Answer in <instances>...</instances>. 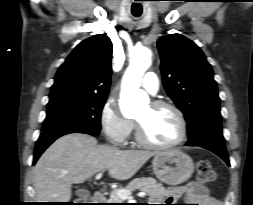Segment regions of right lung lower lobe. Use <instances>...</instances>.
<instances>
[{
	"mask_svg": "<svg viewBox=\"0 0 253 205\" xmlns=\"http://www.w3.org/2000/svg\"><path fill=\"white\" fill-rule=\"evenodd\" d=\"M69 133H85L92 136H97L99 132H92L84 129H76V128H70V129H61L57 131H50V132H42L35 147V154H34V160L33 165L36 163L40 155L45 151V149L54 142L57 138L69 134Z\"/></svg>",
	"mask_w": 253,
	"mask_h": 205,
	"instance_id": "98d812e1",
	"label": "right lung lower lobe"
}]
</instances>
